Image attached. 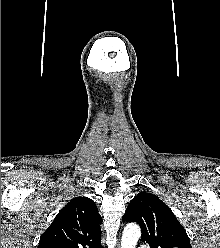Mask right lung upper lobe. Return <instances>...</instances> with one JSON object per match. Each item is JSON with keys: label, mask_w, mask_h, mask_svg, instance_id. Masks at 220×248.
<instances>
[{"label": "right lung upper lobe", "mask_w": 220, "mask_h": 248, "mask_svg": "<svg viewBox=\"0 0 220 248\" xmlns=\"http://www.w3.org/2000/svg\"><path fill=\"white\" fill-rule=\"evenodd\" d=\"M101 223L95 202L75 197L43 233L38 248H103Z\"/></svg>", "instance_id": "1"}]
</instances>
